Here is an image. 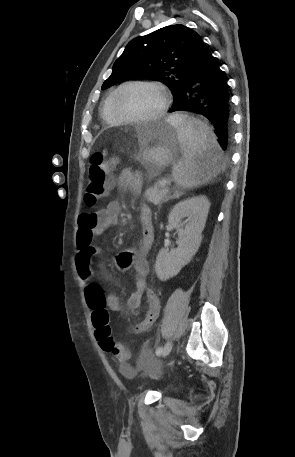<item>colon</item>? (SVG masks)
<instances>
[{
  "label": "colon",
  "instance_id": "obj_1",
  "mask_svg": "<svg viewBox=\"0 0 295 457\" xmlns=\"http://www.w3.org/2000/svg\"><path fill=\"white\" fill-rule=\"evenodd\" d=\"M116 161L110 158L106 151L96 152L91 156L88 184L85 193L87 206H94L100 198L113 186L114 180L111 175ZM88 305L92 310L91 318L98 340L99 350L112 354V361L130 360V351L119 343H116L111 335L109 315L105 303L101 299V290L96 283H92L86 290Z\"/></svg>",
  "mask_w": 295,
  "mask_h": 457
}]
</instances>
